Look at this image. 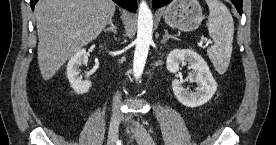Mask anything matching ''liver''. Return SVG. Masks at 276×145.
<instances>
[{
    "mask_svg": "<svg viewBox=\"0 0 276 145\" xmlns=\"http://www.w3.org/2000/svg\"><path fill=\"white\" fill-rule=\"evenodd\" d=\"M115 10L112 0H39L35 17L43 79L52 78L75 52L95 40Z\"/></svg>",
    "mask_w": 276,
    "mask_h": 145,
    "instance_id": "6515ba94",
    "label": "liver"
}]
</instances>
